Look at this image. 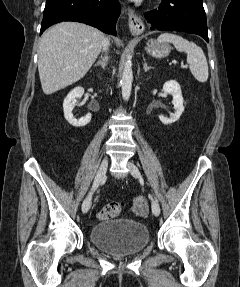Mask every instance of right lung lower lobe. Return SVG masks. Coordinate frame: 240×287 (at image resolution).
Masks as SVG:
<instances>
[{"instance_id":"obj_1","label":"right lung lower lobe","mask_w":240,"mask_h":287,"mask_svg":"<svg viewBox=\"0 0 240 287\" xmlns=\"http://www.w3.org/2000/svg\"><path fill=\"white\" fill-rule=\"evenodd\" d=\"M121 8L118 0H47L40 35L51 25L76 21L116 35Z\"/></svg>"}]
</instances>
